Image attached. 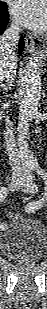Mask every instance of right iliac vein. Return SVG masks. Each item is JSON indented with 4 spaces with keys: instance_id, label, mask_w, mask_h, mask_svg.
Listing matches in <instances>:
<instances>
[{
    "instance_id": "right-iliac-vein-1",
    "label": "right iliac vein",
    "mask_w": 47,
    "mask_h": 309,
    "mask_svg": "<svg viewBox=\"0 0 47 309\" xmlns=\"http://www.w3.org/2000/svg\"><path fill=\"white\" fill-rule=\"evenodd\" d=\"M24 183V179L21 177H13L10 184H9V189L14 190L17 188H20L22 184Z\"/></svg>"
}]
</instances>
